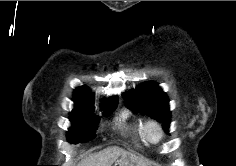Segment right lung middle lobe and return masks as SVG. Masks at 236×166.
<instances>
[{
    "mask_svg": "<svg viewBox=\"0 0 236 166\" xmlns=\"http://www.w3.org/2000/svg\"><path fill=\"white\" fill-rule=\"evenodd\" d=\"M117 105L104 109L103 115L111 114ZM98 117L89 109L75 108L71 112L72 127L68 131L70 142H87L95 137V130L98 125Z\"/></svg>",
    "mask_w": 236,
    "mask_h": 166,
    "instance_id": "dd1d6c3e",
    "label": "right lung middle lobe"
}]
</instances>
